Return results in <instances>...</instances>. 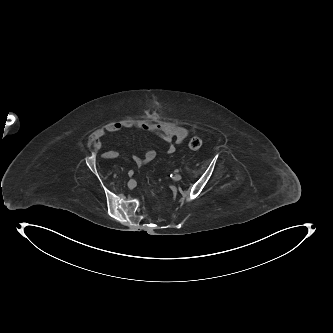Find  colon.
<instances>
[{
  "instance_id": "1",
  "label": "colon",
  "mask_w": 333,
  "mask_h": 333,
  "mask_svg": "<svg viewBox=\"0 0 333 333\" xmlns=\"http://www.w3.org/2000/svg\"><path fill=\"white\" fill-rule=\"evenodd\" d=\"M202 146V140L200 137L194 136L189 141V147L192 150H198Z\"/></svg>"
}]
</instances>
